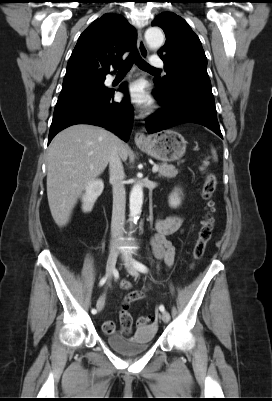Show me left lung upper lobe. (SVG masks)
<instances>
[{"label":"left lung upper lobe","instance_id":"left-lung-upper-lobe-1","mask_svg":"<svg viewBox=\"0 0 272 401\" xmlns=\"http://www.w3.org/2000/svg\"><path fill=\"white\" fill-rule=\"evenodd\" d=\"M152 26L161 27L166 35L165 45L158 51L166 76L155 79V84L169 88L174 83H184L211 89L207 58L199 37L187 22L172 12H163L155 17Z\"/></svg>","mask_w":272,"mask_h":401}]
</instances>
